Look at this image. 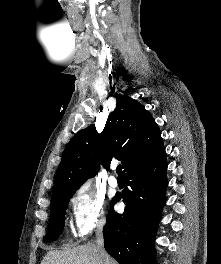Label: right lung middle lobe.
<instances>
[{"mask_svg": "<svg viewBox=\"0 0 221 264\" xmlns=\"http://www.w3.org/2000/svg\"><path fill=\"white\" fill-rule=\"evenodd\" d=\"M73 194L62 195L51 201L49 229L47 235L43 238L45 242L56 240L62 233L66 209Z\"/></svg>", "mask_w": 221, "mask_h": 264, "instance_id": "obj_1", "label": "right lung middle lobe"}]
</instances>
